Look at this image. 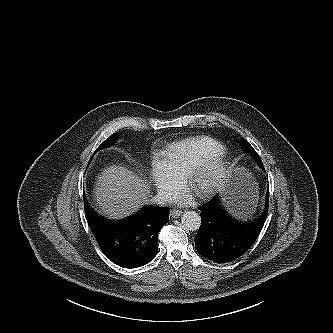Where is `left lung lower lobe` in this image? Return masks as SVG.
Returning a JSON list of instances; mask_svg holds the SVG:
<instances>
[{"label": "left lung lower lobe", "instance_id": "obj_1", "mask_svg": "<svg viewBox=\"0 0 333 333\" xmlns=\"http://www.w3.org/2000/svg\"><path fill=\"white\" fill-rule=\"evenodd\" d=\"M269 191L265 208L254 221H242L230 215L218 195L200 206L201 225L195 237L198 253L214 262L227 263L243 255L259 236L268 213Z\"/></svg>", "mask_w": 333, "mask_h": 333}]
</instances>
